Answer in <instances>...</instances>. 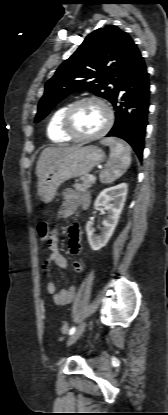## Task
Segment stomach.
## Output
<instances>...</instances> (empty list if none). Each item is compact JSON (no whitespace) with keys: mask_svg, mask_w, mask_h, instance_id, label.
Returning a JSON list of instances; mask_svg holds the SVG:
<instances>
[{"mask_svg":"<svg viewBox=\"0 0 168 415\" xmlns=\"http://www.w3.org/2000/svg\"><path fill=\"white\" fill-rule=\"evenodd\" d=\"M105 158L101 148L79 145L68 154L53 162L38 179V196L41 201L49 203L56 195L57 189L67 180L88 174Z\"/></svg>","mask_w":168,"mask_h":415,"instance_id":"0dacf381","label":"stomach"}]
</instances>
